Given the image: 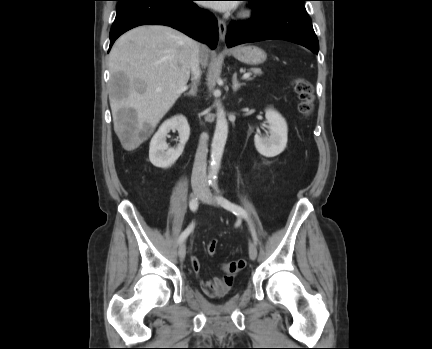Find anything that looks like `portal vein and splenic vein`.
Wrapping results in <instances>:
<instances>
[{
  "label": "portal vein and splenic vein",
  "mask_w": 432,
  "mask_h": 349,
  "mask_svg": "<svg viewBox=\"0 0 432 349\" xmlns=\"http://www.w3.org/2000/svg\"><path fill=\"white\" fill-rule=\"evenodd\" d=\"M250 76H251V73H245L242 78L248 79Z\"/></svg>",
  "instance_id": "portal-vein-and-splenic-vein-1"
}]
</instances>
